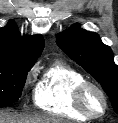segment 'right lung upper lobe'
<instances>
[{"label": "right lung upper lobe", "instance_id": "right-lung-upper-lobe-1", "mask_svg": "<svg viewBox=\"0 0 118 123\" xmlns=\"http://www.w3.org/2000/svg\"><path fill=\"white\" fill-rule=\"evenodd\" d=\"M44 48L41 35L21 36L16 26L9 23L0 29V60L32 67Z\"/></svg>", "mask_w": 118, "mask_h": 123}]
</instances>
